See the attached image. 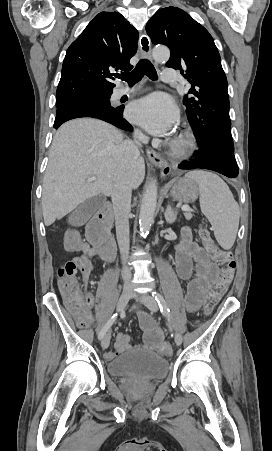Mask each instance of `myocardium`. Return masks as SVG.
I'll use <instances>...</instances> for the list:
<instances>
[{"instance_id":"myocardium-1","label":"myocardium","mask_w":272,"mask_h":451,"mask_svg":"<svg viewBox=\"0 0 272 451\" xmlns=\"http://www.w3.org/2000/svg\"><path fill=\"white\" fill-rule=\"evenodd\" d=\"M190 137L191 136H190L189 132L185 131L183 134V140L186 142L190 139Z\"/></svg>"}]
</instances>
